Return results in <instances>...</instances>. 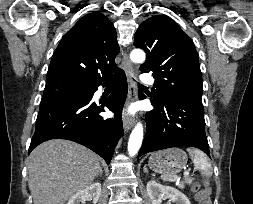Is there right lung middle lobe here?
Segmentation results:
<instances>
[{
	"label": "right lung middle lobe",
	"instance_id": "1",
	"mask_svg": "<svg viewBox=\"0 0 253 204\" xmlns=\"http://www.w3.org/2000/svg\"><path fill=\"white\" fill-rule=\"evenodd\" d=\"M92 94V87L69 81H54L46 83L42 100L87 97Z\"/></svg>",
	"mask_w": 253,
	"mask_h": 204
}]
</instances>
